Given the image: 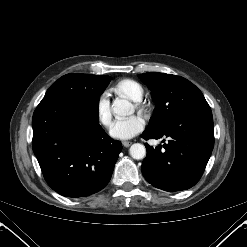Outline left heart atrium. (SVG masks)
<instances>
[{
  "label": "left heart atrium",
  "mask_w": 247,
  "mask_h": 247,
  "mask_svg": "<svg viewBox=\"0 0 247 247\" xmlns=\"http://www.w3.org/2000/svg\"><path fill=\"white\" fill-rule=\"evenodd\" d=\"M144 127L145 122L139 116L118 119L113 123L110 135L116 139L127 140L140 133Z\"/></svg>",
  "instance_id": "obj_1"
}]
</instances>
